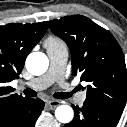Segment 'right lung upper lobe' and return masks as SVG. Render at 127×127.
<instances>
[{"mask_svg": "<svg viewBox=\"0 0 127 127\" xmlns=\"http://www.w3.org/2000/svg\"><path fill=\"white\" fill-rule=\"evenodd\" d=\"M47 28L46 21L0 26V125L8 121L29 99L15 94L9 82L18 78L26 57Z\"/></svg>", "mask_w": 127, "mask_h": 127, "instance_id": "right-lung-upper-lobe-1", "label": "right lung upper lobe"}]
</instances>
